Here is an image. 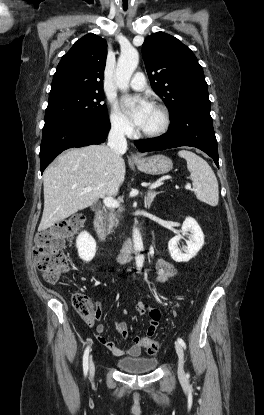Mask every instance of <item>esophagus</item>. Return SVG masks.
<instances>
[{
    "mask_svg": "<svg viewBox=\"0 0 264 415\" xmlns=\"http://www.w3.org/2000/svg\"><path fill=\"white\" fill-rule=\"evenodd\" d=\"M130 159H131L133 162H136V161H139L140 157H139L137 154L132 153V154L130 155Z\"/></svg>",
    "mask_w": 264,
    "mask_h": 415,
    "instance_id": "1",
    "label": "esophagus"
}]
</instances>
